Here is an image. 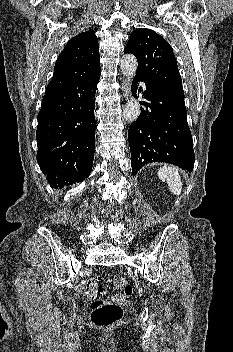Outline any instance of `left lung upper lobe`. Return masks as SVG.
<instances>
[{
	"label": "left lung upper lobe",
	"instance_id": "left-lung-upper-lobe-1",
	"mask_svg": "<svg viewBox=\"0 0 233 352\" xmlns=\"http://www.w3.org/2000/svg\"><path fill=\"white\" fill-rule=\"evenodd\" d=\"M124 53L137 58L136 77L184 101L182 79L173 49L162 36L151 29H136L131 33Z\"/></svg>",
	"mask_w": 233,
	"mask_h": 352
}]
</instances>
